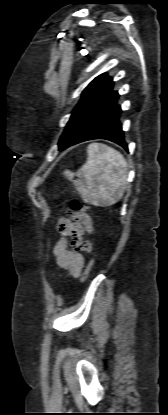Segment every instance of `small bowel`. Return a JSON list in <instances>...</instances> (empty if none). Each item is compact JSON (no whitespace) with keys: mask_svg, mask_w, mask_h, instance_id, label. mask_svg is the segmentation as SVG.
<instances>
[{"mask_svg":"<svg viewBox=\"0 0 168 415\" xmlns=\"http://www.w3.org/2000/svg\"><path fill=\"white\" fill-rule=\"evenodd\" d=\"M69 220H62L58 224V230L64 235L53 248V256L59 268L66 270L71 276L78 277L84 267L85 258L82 252H90L92 243L84 239V233H91L93 230L92 219L87 213L71 207L67 213L62 214ZM68 238L71 239L69 242Z\"/></svg>","mask_w":168,"mask_h":415,"instance_id":"small-bowel-1","label":"small bowel"}]
</instances>
